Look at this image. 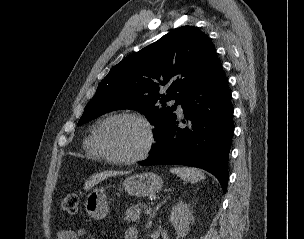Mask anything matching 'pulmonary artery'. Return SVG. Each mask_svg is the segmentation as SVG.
Segmentation results:
<instances>
[{"label": "pulmonary artery", "instance_id": "1", "mask_svg": "<svg viewBox=\"0 0 304 239\" xmlns=\"http://www.w3.org/2000/svg\"><path fill=\"white\" fill-rule=\"evenodd\" d=\"M172 103H173V104L176 103V105H177V110H178L179 113H182V112H183L182 106H181V104H180L179 102H177L176 100H173Z\"/></svg>", "mask_w": 304, "mask_h": 239}]
</instances>
